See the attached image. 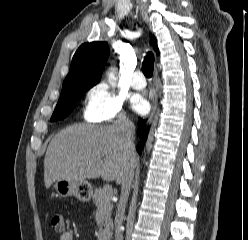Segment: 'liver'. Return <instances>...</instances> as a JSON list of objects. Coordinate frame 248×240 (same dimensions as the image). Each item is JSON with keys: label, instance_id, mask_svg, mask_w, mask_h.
I'll return each mask as SVG.
<instances>
[{"label": "liver", "instance_id": "6515ba94", "mask_svg": "<svg viewBox=\"0 0 248 240\" xmlns=\"http://www.w3.org/2000/svg\"><path fill=\"white\" fill-rule=\"evenodd\" d=\"M136 153L129 151L117 125H72L51 140L44 159V182L49 188L60 179L82 181L102 177L120 184Z\"/></svg>", "mask_w": 248, "mask_h": 240}]
</instances>
